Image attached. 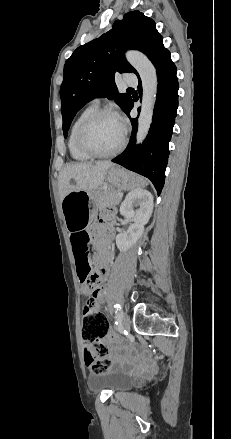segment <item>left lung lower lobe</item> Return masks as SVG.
I'll return each mask as SVG.
<instances>
[{"instance_id": "1", "label": "left lung lower lobe", "mask_w": 231, "mask_h": 439, "mask_svg": "<svg viewBox=\"0 0 231 439\" xmlns=\"http://www.w3.org/2000/svg\"><path fill=\"white\" fill-rule=\"evenodd\" d=\"M153 64L157 70L158 93L153 122L148 136L141 146L135 147L137 118L133 119L130 117V110L134 104V101L131 99L124 111L132 123L130 143L121 155L112 159V162L150 179L159 195L164 186L165 170L169 156L168 144L172 136V129L177 114L179 86L176 77V66L172 62L170 52L167 49L160 53ZM138 92L142 94L140 78ZM139 111L140 108H138Z\"/></svg>"}]
</instances>
